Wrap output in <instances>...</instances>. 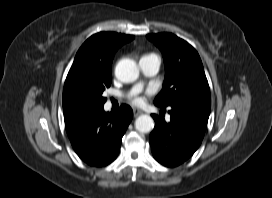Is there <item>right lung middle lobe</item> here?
Returning a JSON list of instances; mask_svg holds the SVG:
<instances>
[{
	"label": "right lung middle lobe",
	"mask_w": 272,
	"mask_h": 198,
	"mask_svg": "<svg viewBox=\"0 0 272 198\" xmlns=\"http://www.w3.org/2000/svg\"><path fill=\"white\" fill-rule=\"evenodd\" d=\"M111 85V76L103 78L93 84L89 90V101L91 109L100 108L104 106L106 98L103 96V92Z\"/></svg>",
	"instance_id": "right-lung-middle-lobe-1"
}]
</instances>
